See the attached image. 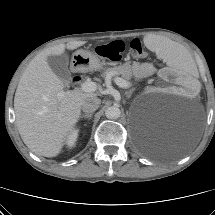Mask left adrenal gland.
<instances>
[{"mask_svg": "<svg viewBox=\"0 0 215 215\" xmlns=\"http://www.w3.org/2000/svg\"><path fill=\"white\" fill-rule=\"evenodd\" d=\"M134 92V89L130 90L129 92L126 93V97L129 99L132 96V93Z\"/></svg>", "mask_w": 215, "mask_h": 215, "instance_id": "left-adrenal-gland-1", "label": "left adrenal gland"}]
</instances>
